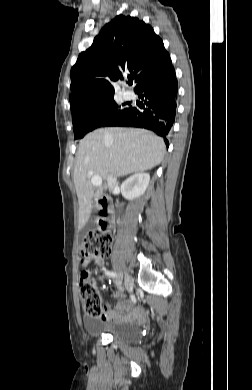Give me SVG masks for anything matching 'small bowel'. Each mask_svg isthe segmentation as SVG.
<instances>
[{"label": "small bowel", "mask_w": 252, "mask_h": 390, "mask_svg": "<svg viewBox=\"0 0 252 390\" xmlns=\"http://www.w3.org/2000/svg\"><path fill=\"white\" fill-rule=\"evenodd\" d=\"M95 264L102 266L104 259L98 257L94 260ZM103 289H107L105 283L100 280ZM96 285V283H95ZM121 290L117 293L112 294V300H117L114 309H111L109 304H106L103 310L102 318L106 320L120 321V322H140L144 318V310L141 307L134 308L130 301L123 300ZM123 312V315H120Z\"/></svg>", "instance_id": "obj_1"}]
</instances>
